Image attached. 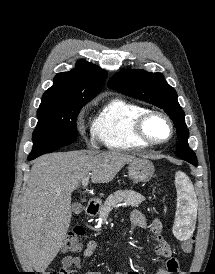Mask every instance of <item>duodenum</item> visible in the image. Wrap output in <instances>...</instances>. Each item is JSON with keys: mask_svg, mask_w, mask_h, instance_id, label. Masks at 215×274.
Instances as JSON below:
<instances>
[{"mask_svg": "<svg viewBox=\"0 0 215 274\" xmlns=\"http://www.w3.org/2000/svg\"><path fill=\"white\" fill-rule=\"evenodd\" d=\"M98 202L96 200H90L85 207V213L87 216H94L98 212Z\"/></svg>", "mask_w": 215, "mask_h": 274, "instance_id": "obj_1", "label": "duodenum"}]
</instances>
